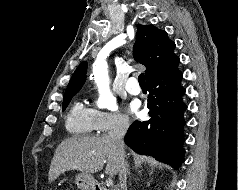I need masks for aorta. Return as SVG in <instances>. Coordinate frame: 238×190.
Wrapping results in <instances>:
<instances>
[{
	"mask_svg": "<svg viewBox=\"0 0 238 190\" xmlns=\"http://www.w3.org/2000/svg\"><path fill=\"white\" fill-rule=\"evenodd\" d=\"M93 74L101 94L99 106L102 108H107L111 111H116L118 106L116 104V99L110 93L106 63H96L93 68Z\"/></svg>",
	"mask_w": 238,
	"mask_h": 190,
	"instance_id": "762f6f07",
	"label": "aorta"
}]
</instances>
